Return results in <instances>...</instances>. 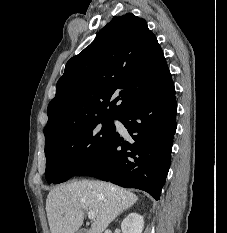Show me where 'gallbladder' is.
Here are the masks:
<instances>
[{"mask_svg": "<svg viewBox=\"0 0 227 233\" xmlns=\"http://www.w3.org/2000/svg\"><path fill=\"white\" fill-rule=\"evenodd\" d=\"M76 233H87L86 229H80Z\"/></svg>", "mask_w": 227, "mask_h": 233, "instance_id": "1", "label": "gallbladder"}]
</instances>
